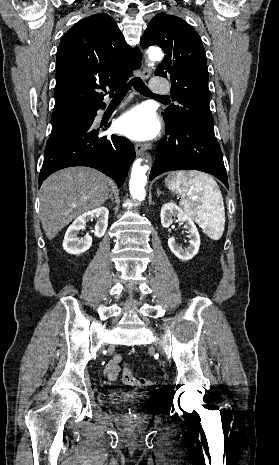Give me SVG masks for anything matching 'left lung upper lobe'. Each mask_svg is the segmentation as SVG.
<instances>
[{"label": "left lung upper lobe", "instance_id": "1", "mask_svg": "<svg viewBox=\"0 0 279 465\" xmlns=\"http://www.w3.org/2000/svg\"><path fill=\"white\" fill-rule=\"evenodd\" d=\"M140 44L143 48L158 45L166 54L155 74L170 77L171 97L179 103L163 113L166 126L186 123L214 135L206 55L197 32L179 17L158 13Z\"/></svg>", "mask_w": 279, "mask_h": 465}]
</instances>
